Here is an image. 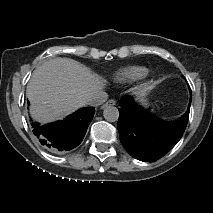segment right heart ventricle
Wrapping results in <instances>:
<instances>
[{
	"mask_svg": "<svg viewBox=\"0 0 213 213\" xmlns=\"http://www.w3.org/2000/svg\"><path fill=\"white\" fill-rule=\"evenodd\" d=\"M147 73V70L142 66L131 65L119 69L114 79L120 83H129L143 78Z\"/></svg>",
	"mask_w": 213,
	"mask_h": 213,
	"instance_id": "1",
	"label": "right heart ventricle"
}]
</instances>
